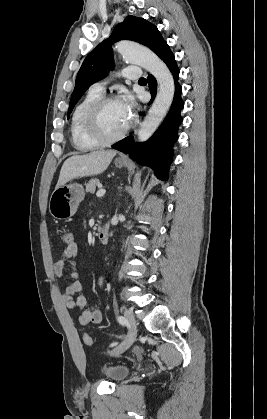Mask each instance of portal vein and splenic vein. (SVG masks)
I'll list each match as a JSON object with an SVG mask.
<instances>
[{
  "label": "portal vein and splenic vein",
  "mask_w": 267,
  "mask_h": 419,
  "mask_svg": "<svg viewBox=\"0 0 267 419\" xmlns=\"http://www.w3.org/2000/svg\"><path fill=\"white\" fill-rule=\"evenodd\" d=\"M105 192L106 191L104 189H99L96 193V196L97 197H102V196H104Z\"/></svg>",
  "instance_id": "obj_1"
}]
</instances>
